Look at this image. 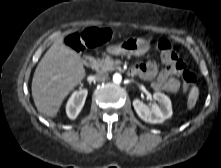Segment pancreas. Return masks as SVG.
Here are the masks:
<instances>
[{
    "instance_id": "pancreas-1",
    "label": "pancreas",
    "mask_w": 221,
    "mask_h": 168,
    "mask_svg": "<svg viewBox=\"0 0 221 168\" xmlns=\"http://www.w3.org/2000/svg\"><path fill=\"white\" fill-rule=\"evenodd\" d=\"M115 69H119V66L109 56L103 59L96 60V64H95L96 71H113Z\"/></svg>"
}]
</instances>
